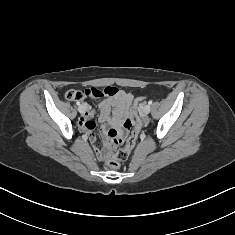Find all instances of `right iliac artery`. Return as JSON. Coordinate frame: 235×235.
I'll use <instances>...</instances> for the list:
<instances>
[{
  "label": "right iliac artery",
  "mask_w": 235,
  "mask_h": 235,
  "mask_svg": "<svg viewBox=\"0 0 235 235\" xmlns=\"http://www.w3.org/2000/svg\"><path fill=\"white\" fill-rule=\"evenodd\" d=\"M76 104H77V105H80V102H77Z\"/></svg>",
  "instance_id": "obj_1"
}]
</instances>
